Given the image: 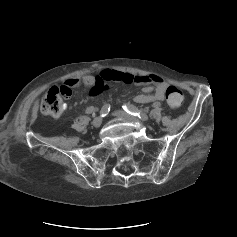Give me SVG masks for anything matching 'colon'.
Listing matches in <instances>:
<instances>
[{"label":"colon","mask_w":237,"mask_h":237,"mask_svg":"<svg viewBox=\"0 0 237 237\" xmlns=\"http://www.w3.org/2000/svg\"><path fill=\"white\" fill-rule=\"evenodd\" d=\"M71 89L69 86L52 87L48 90L40 102V111L49 116H57L63 110V99L69 97ZM166 102L172 109L179 108L183 103L182 92L174 87L169 86L165 92Z\"/></svg>","instance_id":"obj_1"}]
</instances>
